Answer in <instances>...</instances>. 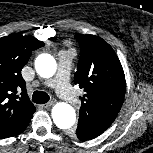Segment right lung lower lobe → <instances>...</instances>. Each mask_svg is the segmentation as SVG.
<instances>
[{"label": "right lung lower lobe", "mask_w": 153, "mask_h": 153, "mask_svg": "<svg viewBox=\"0 0 153 153\" xmlns=\"http://www.w3.org/2000/svg\"><path fill=\"white\" fill-rule=\"evenodd\" d=\"M30 120H31V119H30ZM30 120L26 121V122L23 124V126H22L15 134H13L12 136H15V135H18V134L22 133V132L26 129V127L28 126ZM10 137H11V136H10Z\"/></svg>", "instance_id": "98d812e1"}]
</instances>
